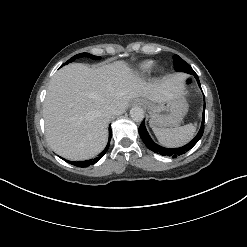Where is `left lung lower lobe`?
<instances>
[{"label": "left lung lower lobe", "mask_w": 247, "mask_h": 247, "mask_svg": "<svg viewBox=\"0 0 247 247\" xmlns=\"http://www.w3.org/2000/svg\"><path fill=\"white\" fill-rule=\"evenodd\" d=\"M194 77L196 78L198 85L201 88L200 81H199L197 74H195ZM204 110H205V103H204ZM203 132H204V111H203V120H202L201 128H200L198 134L195 136V138L191 142H189L188 144H186L185 146L180 147V148L169 149V148H164L162 146L157 145L149 136V134L145 128L144 121L141 123V125L139 127L140 137L143 140V142L145 143V145L151 151L158 153V154H161V155H164V156H171L173 158H175L179 155H182V154L186 153L187 151H189L202 137Z\"/></svg>", "instance_id": "left-lung-lower-lobe-1"}]
</instances>
